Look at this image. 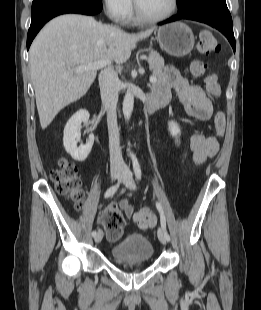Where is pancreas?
<instances>
[{
  "label": "pancreas",
  "instance_id": "1",
  "mask_svg": "<svg viewBox=\"0 0 261 310\" xmlns=\"http://www.w3.org/2000/svg\"><path fill=\"white\" fill-rule=\"evenodd\" d=\"M150 69L153 70L157 81L151 85V89H155L162 82V69L164 67V60L158 54H150L147 59Z\"/></svg>",
  "mask_w": 261,
  "mask_h": 310
}]
</instances>
